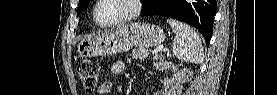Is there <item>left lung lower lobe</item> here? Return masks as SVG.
<instances>
[{
  "label": "left lung lower lobe",
  "mask_w": 277,
  "mask_h": 95,
  "mask_svg": "<svg viewBox=\"0 0 277 95\" xmlns=\"http://www.w3.org/2000/svg\"><path fill=\"white\" fill-rule=\"evenodd\" d=\"M216 10V0H151L141 15H164L189 23L202 33L209 44Z\"/></svg>",
  "instance_id": "left-lung-lower-lobe-1"
}]
</instances>
